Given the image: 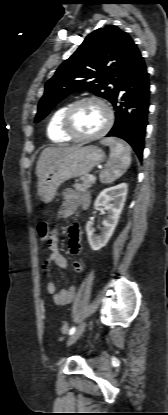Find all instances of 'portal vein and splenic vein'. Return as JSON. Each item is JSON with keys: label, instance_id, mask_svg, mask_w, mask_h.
<instances>
[{"label": "portal vein and splenic vein", "instance_id": "obj_1", "mask_svg": "<svg viewBox=\"0 0 168 415\" xmlns=\"http://www.w3.org/2000/svg\"><path fill=\"white\" fill-rule=\"evenodd\" d=\"M88 178H89L90 180L95 179V178H94V176H93V175H91V174H90V175H88Z\"/></svg>", "mask_w": 168, "mask_h": 415}]
</instances>
